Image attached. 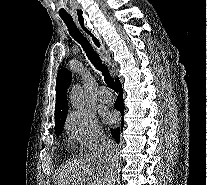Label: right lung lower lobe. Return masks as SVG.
Here are the masks:
<instances>
[{"label":"right lung lower lobe","mask_w":207,"mask_h":185,"mask_svg":"<svg viewBox=\"0 0 207 185\" xmlns=\"http://www.w3.org/2000/svg\"><path fill=\"white\" fill-rule=\"evenodd\" d=\"M116 86H117V90L119 92V96L117 97V100L115 102V108L121 112L122 117H123V114H124V103H123V99H122L123 92H122V86L120 84L119 78H117V80H116ZM110 130H111V134H112L113 138L115 139L116 143H119L120 132L123 131V126L117 127V128H111Z\"/></svg>","instance_id":"right-lung-lower-lobe-1"}]
</instances>
